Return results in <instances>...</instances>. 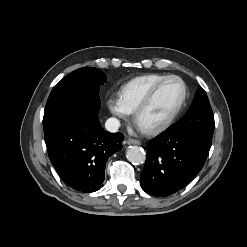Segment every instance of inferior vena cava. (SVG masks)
<instances>
[{
  "instance_id": "1",
  "label": "inferior vena cava",
  "mask_w": 247,
  "mask_h": 247,
  "mask_svg": "<svg viewBox=\"0 0 247 247\" xmlns=\"http://www.w3.org/2000/svg\"><path fill=\"white\" fill-rule=\"evenodd\" d=\"M119 127H120V122L116 118H109L105 123V128L109 132H113V133L117 132Z\"/></svg>"
}]
</instances>
